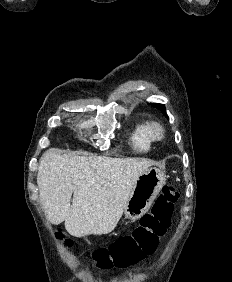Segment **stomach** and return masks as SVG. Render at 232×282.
Here are the masks:
<instances>
[{"label":"stomach","mask_w":232,"mask_h":282,"mask_svg":"<svg viewBox=\"0 0 232 282\" xmlns=\"http://www.w3.org/2000/svg\"><path fill=\"white\" fill-rule=\"evenodd\" d=\"M165 173L156 167H149L138 177L124 209L126 219L135 221L144 215L165 185Z\"/></svg>","instance_id":"obj_1"}]
</instances>
